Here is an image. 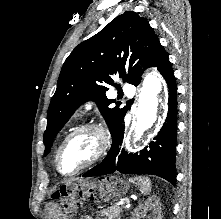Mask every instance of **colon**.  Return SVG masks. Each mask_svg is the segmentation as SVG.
<instances>
[{
  "mask_svg": "<svg viewBox=\"0 0 221 219\" xmlns=\"http://www.w3.org/2000/svg\"><path fill=\"white\" fill-rule=\"evenodd\" d=\"M76 204H72V201L70 199H66L63 202V208L67 211V212H71L72 209L75 207Z\"/></svg>",
  "mask_w": 221,
  "mask_h": 219,
  "instance_id": "obj_1",
  "label": "colon"
}]
</instances>
